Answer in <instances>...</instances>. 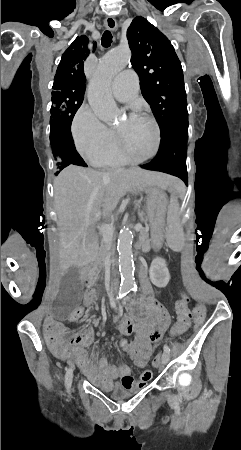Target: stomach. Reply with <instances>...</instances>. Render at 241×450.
<instances>
[{"label":"stomach","mask_w":241,"mask_h":450,"mask_svg":"<svg viewBox=\"0 0 241 450\" xmlns=\"http://www.w3.org/2000/svg\"><path fill=\"white\" fill-rule=\"evenodd\" d=\"M147 192V216L150 226V242L154 250H159L164 242L166 196L158 187H150Z\"/></svg>","instance_id":"obj_1"}]
</instances>
